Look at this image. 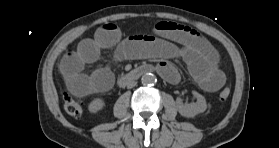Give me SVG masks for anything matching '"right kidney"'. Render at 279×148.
Here are the masks:
<instances>
[{"mask_svg": "<svg viewBox=\"0 0 279 148\" xmlns=\"http://www.w3.org/2000/svg\"><path fill=\"white\" fill-rule=\"evenodd\" d=\"M105 106V103L100 98H95L93 101L90 102L88 106V110L91 113H97L98 111L102 110Z\"/></svg>", "mask_w": 279, "mask_h": 148, "instance_id": "1", "label": "right kidney"}]
</instances>
